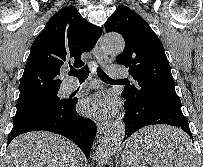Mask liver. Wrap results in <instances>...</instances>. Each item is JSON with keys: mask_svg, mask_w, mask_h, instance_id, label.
Returning <instances> with one entry per match:
<instances>
[{"mask_svg": "<svg viewBox=\"0 0 203 167\" xmlns=\"http://www.w3.org/2000/svg\"><path fill=\"white\" fill-rule=\"evenodd\" d=\"M144 139H156L165 160H174L183 150L179 144L187 136L172 127L157 126L141 130L132 136L127 147ZM191 149V148H190ZM78 148L71 141L49 132H30L15 138L8 146L4 167H80Z\"/></svg>", "mask_w": 203, "mask_h": 167, "instance_id": "1", "label": "liver"}]
</instances>
